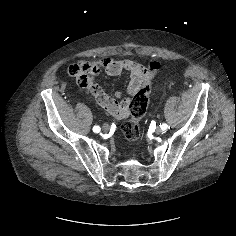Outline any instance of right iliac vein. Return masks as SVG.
<instances>
[{"instance_id": "obj_1", "label": "right iliac vein", "mask_w": 236, "mask_h": 236, "mask_svg": "<svg viewBox=\"0 0 236 236\" xmlns=\"http://www.w3.org/2000/svg\"><path fill=\"white\" fill-rule=\"evenodd\" d=\"M109 129H110L109 124L104 123V124L102 125V130H103V131L107 132Z\"/></svg>"}]
</instances>
